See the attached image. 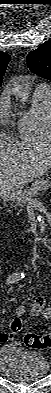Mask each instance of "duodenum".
<instances>
[{"label": "duodenum", "mask_w": 51, "mask_h": 393, "mask_svg": "<svg viewBox=\"0 0 51 393\" xmlns=\"http://www.w3.org/2000/svg\"><path fill=\"white\" fill-rule=\"evenodd\" d=\"M2 197L4 200H8L10 198V196L7 193H3Z\"/></svg>", "instance_id": "duodenum-1"}]
</instances>
